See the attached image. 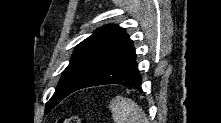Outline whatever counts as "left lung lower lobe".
Returning a JSON list of instances; mask_svg holds the SVG:
<instances>
[{
    "label": "left lung lower lobe",
    "mask_w": 221,
    "mask_h": 123,
    "mask_svg": "<svg viewBox=\"0 0 221 123\" xmlns=\"http://www.w3.org/2000/svg\"><path fill=\"white\" fill-rule=\"evenodd\" d=\"M104 84H121L129 89L134 88L141 90V76L135 62L134 48L126 51L101 68L78 89Z\"/></svg>",
    "instance_id": "obj_1"
}]
</instances>
